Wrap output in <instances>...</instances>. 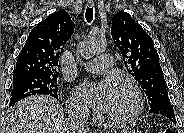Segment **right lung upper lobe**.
<instances>
[{"label":"right lung upper lobe","instance_id":"1","mask_svg":"<svg viewBox=\"0 0 184 133\" xmlns=\"http://www.w3.org/2000/svg\"><path fill=\"white\" fill-rule=\"evenodd\" d=\"M74 32V23L65 10L50 14L29 33L26 44L17 59L13 78L23 76H58L63 46Z\"/></svg>","mask_w":184,"mask_h":133}]
</instances>
